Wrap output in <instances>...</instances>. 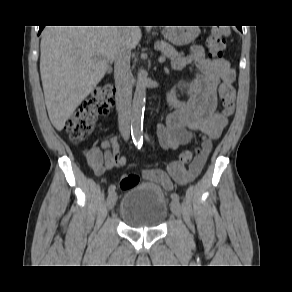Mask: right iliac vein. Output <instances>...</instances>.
Masks as SVG:
<instances>
[{
  "label": "right iliac vein",
  "instance_id": "right-iliac-vein-1",
  "mask_svg": "<svg viewBox=\"0 0 292 292\" xmlns=\"http://www.w3.org/2000/svg\"><path fill=\"white\" fill-rule=\"evenodd\" d=\"M117 201V195L115 192L109 194L107 198V208L109 210L113 209Z\"/></svg>",
  "mask_w": 292,
  "mask_h": 292
}]
</instances>
